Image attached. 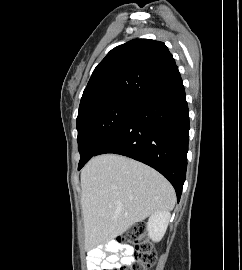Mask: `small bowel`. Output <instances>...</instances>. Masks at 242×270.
<instances>
[{"mask_svg":"<svg viewBox=\"0 0 242 270\" xmlns=\"http://www.w3.org/2000/svg\"><path fill=\"white\" fill-rule=\"evenodd\" d=\"M133 249L118 242H111L105 248H96L87 258V265L93 270H118L121 265L131 264Z\"/></svg>","mask_w":242,"mask_h":270,"instance_id":"1","label":"small bowel"}]
</instances>
